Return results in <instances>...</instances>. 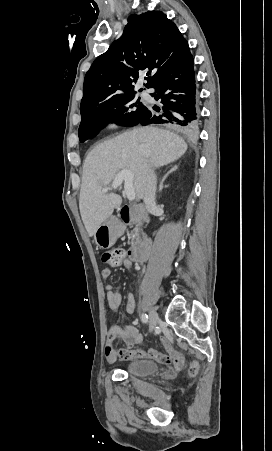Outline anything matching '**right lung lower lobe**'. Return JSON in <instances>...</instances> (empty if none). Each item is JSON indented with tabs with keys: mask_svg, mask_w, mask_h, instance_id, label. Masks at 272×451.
I'll return each instance as SVG.
<instances>
[{
	"mask_svg": "<svg viewBox=\"0 0 272 451\" xmlns=\"http://www.w3.org/2000/svg\"><path fill=\"white\" fill-rule=\"evenodd\" d=\"M152 88L156 89V93L151 95L156 100L161 99L163 104L162 115L157 116L148 108L137 124H167L180 132L193 133L200 117L190 51L161 74Z\"/></svg>",
	"mask_w": 272,
	"mask_h": 451,
	"instance_id": "98d812e1",
	"label": "right lung lower lobe"
}]
</instances>
